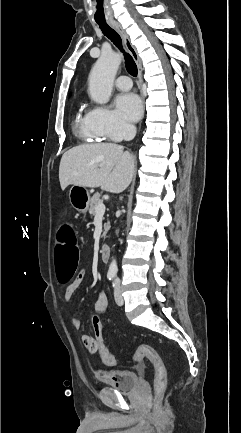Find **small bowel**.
<instances>
[{
    "label": "small bowel",
    "mask_w": 241,
    "mask_h": 433,
    "mask_svg": "<svg viewBox=\"0 0 241 433\" xmlns=\"http://www.w3.org/2000/svg\"><path fill=\"white\" fill-rule=\"evenodd\" d=\"M86 274V270L85 268H83L77 275L76 277L73 279V281L66 287L65 291H64V301L65 302H69L74 294V292L77 290V288L80 286L81 282L83 281L84 277ZM108 307V299L106 294L104 293L103 290H99L97 293V298H96V302H95V311L99 312V313H104L107 310ZM101 324V322H100ZM72 325L74 328L76 329H80L81 328V321L78 318H73L72 319ZM95 340V337L89 335V334H83L82 335V341L85 345V347L90 351V352H97L96 350H90L87 346V342H93Z\"/></svg>",
    "instance_id": "obj_1"
}]
</instances>
